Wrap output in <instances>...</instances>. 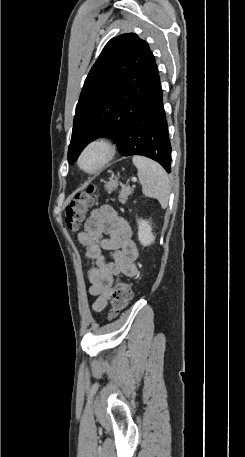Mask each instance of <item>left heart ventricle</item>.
<instances>
[{
    "label": "left heart ventricle",
    "mask_w": 245,
    "mask_h": 457,
    "mask_svg": "<svg viewBox=\"0 0 245 457\" xmlns=\"http://www.w3.org/2000/svg\"><path fill=\"white\" fill-rule=\"evenodd\" d=\"M99 161V155L91 154L85 159V166L88 168L94 167Z\"/></svg>",
    "instance_id": "left-heart-ventricle-1"
}]
</instances>
